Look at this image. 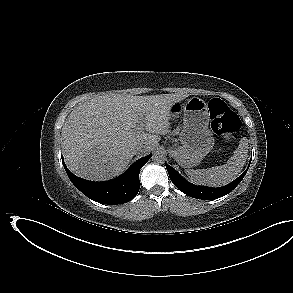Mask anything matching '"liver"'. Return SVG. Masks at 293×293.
I'll list each match as a JSON object with an SVG mask.
<instances>
[{
    "label": "liver",
    "mask_w": 293,
    "mask_h": 293,
    "mask_svg": "<svg viewBox=\"0 0 293 293\" xmlns=\"http://www.w3.org/2000/svg\"><path fill=\"white\" fill-rule=\"evenodd\" d=\"M186 97L185 93L105 94L80 104L62 128L67 167L91 181L120 175L134 155L148 153L160 141L159 135L169 132L170 109ZM141 123L149 133L137 130ZM140 145L142 150L136 153Z\"/></svg>",
    "instance_id": "liver-1"
}]
</instances>
